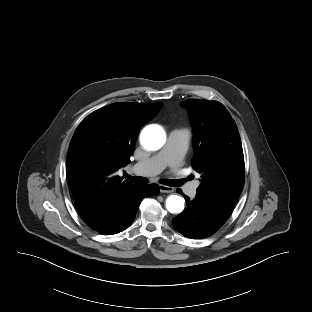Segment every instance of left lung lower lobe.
<instances>
[{"label": "left lung lower lobe", "instance_id": "0a47b994", "mask_svg": "<svg viewBox=\"0 0 312 312\" xmlns=\"http://www.w3.org/2000/svg\"><path fill=\"white\" fill-rule=\"evenodd\" d=\"M180 193L181 190H178ZM182 194V193H181ZM186 201L185 210L172 223L176 231L191 239H200L214 234L230 217L231 212L226 211L217 204L196 196L190 200L182 194Z\"/></svg>", "mask_w": 312, "mask_h": 312}]
</instances>
